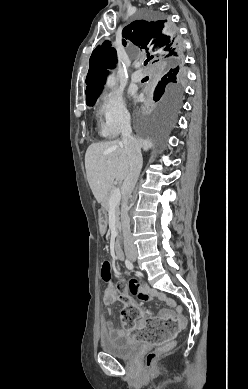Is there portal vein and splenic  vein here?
<instances>
[{
	"mask_svg": "<svg viewBox=\"0 0 248 389\" xmlns=\"http://www.w3.org/2000/svg\"><path fill=\"white\" fill-rule=\"evenodd\" d=\"M120 199H121L120 189L115 188V190H114V192L109 200L110 206H116V204L119 203Z\"/></svg>",
	"mask_w": 248,
	"mask_h": 389,
	"instance_id": "1",
	"label": "portal vein and splenic vein"
}]
</instances>
